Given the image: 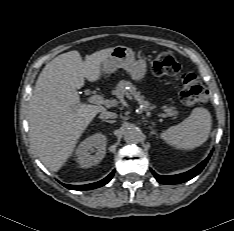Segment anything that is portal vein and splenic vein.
I'll return each mask as SVG.
<instances>
[{
	"mask_svg": "<svg viewBox=\"0 0 234 231\" xmlns=\"http://www.w3.org/2000/svg\"><path fill=\"white\" fill-rule=\"evenodd\" d=\"M88 101L90 103H94V104H97V105H101V104H106L107 103V101L104 100V98L102 96H100V95H92L91 97H89ZM159 116L164 117V118L167 117L166 114H160Z\"/></svg>",
	"mask_w": 234,
	"mask_h": 231,
	"instance_id": "18ae733b",
	"label": "portal vein and splenic vein"
}]
</instances>
